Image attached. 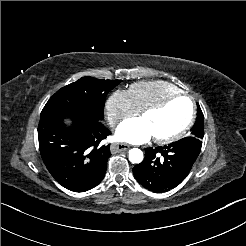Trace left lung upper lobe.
I'll return each instance as SVG.
<instances>
[{
    "label": "left lung upper lobe",
    "mask_w": 246,
    "mask_h": 246,
    "mask_svg": "<svg viewBox=\"0 0 246 246\" xmlns=\"http://www.w3.org/2000/svg\"><path fill=\"white\" fill-rule=\"evenodd\" d=\"M197 107H198L197 120L193 125V127L191 128L190 136L201 140L203 139L204 136V116L198 104Z\"/></svg>",
    "instance_id": "5c2ea615"
}]
</instances>
